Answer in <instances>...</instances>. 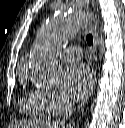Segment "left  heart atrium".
<instances>
[{
  "label": "left heart atrium",
  "instance_id": "left-heart-atrium-1",
  "mask_svg": "<svg viewBox=\"0 0 125 128\" xmlns=\"http://www.w3.org/2000/svg\"><path fill=\"white\" fill-rule=\"evenodd\" d=\"M93 84V75L84 64L68 65L61 73L59 87L62 94L70 100L85 96Z\"/></svg>",
  "mask_w": 125,
  "mask_h": 128
}]
</instances>
